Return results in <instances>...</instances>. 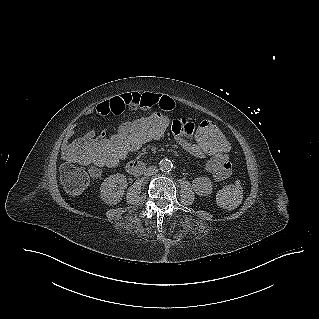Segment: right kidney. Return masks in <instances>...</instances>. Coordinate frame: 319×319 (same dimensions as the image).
Wrapping results in <instances>:
<instances>
[{"label":"right kidney","instance_id":"ca27d5eb","mask_svg":"<svg viewBox=\"0 0 319 319\" xmlns=\"http://www.w3.org/2000/svg\"><path fill=\"white\" fill-rule=\"evenodd\" d=\"M127 179L123 174L110 175L100 186V197L108 205L118 204L127 188Z\"/></svg>","mask_w":319,"mask_h":319}]
</instances>
